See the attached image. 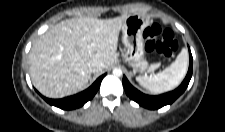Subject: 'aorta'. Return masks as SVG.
Returning <instances> with one entry per match:
<instances>
[{
	"instance_id": "obj_1",
	"label": "aorta",
	"mask_w": 225,
	"mask_h": 132,
	"mask_svg": "<svg viewBox=\"0 0 225 132\" xmlns=\"http://www.w3.org/2000/svg\"><path fill=\"white\" fill-rule=\"evenodd\" d=\"M113 74H114L115 76L120 77V76H122V70H121L120 68H115V69L113 70Z\"/></svg>"
}]
</instances>
